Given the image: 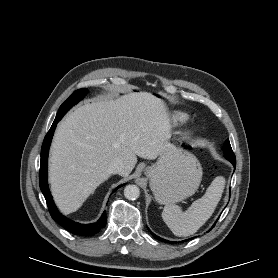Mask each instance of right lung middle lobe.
Listing matches in <instances>:
<instances>
[{
  "label": "right lung middle lobe",
  "instance_id": "right-lung-middle-lobe-1",
  "mask_svg": "<svg viewBox=\"0 0 278 278\" xmlns=\"http://www.w3.org/2000/svg\"><path fill=\"white\" fill-rule=\"evenodd\" d=\"M87 93V89L75 91L59 108L57 114H65L73 105L78 103Z\"/></svg>",
  "mask_w": 278,
  "mask_h": 278
}]
</instances>
